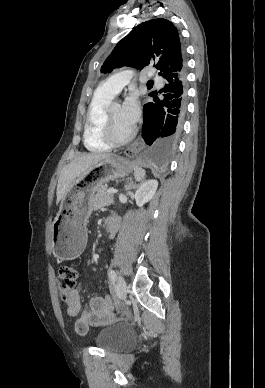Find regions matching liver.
<instances>
[{
	"label": "liver",
	"mask_w": 265,
	"mask_h": 388,
	"mask_svg": "<svg viewBox=\"0 0 265 388\" xmlns=\"http://www.w3.org/2000/svg\"><path fill=\"white\" fill-rule=\"evenodd\" d=\"M108 156H111V154H84V156H79V158L64 166L58 180L56 204H59L61 200H65L73 182L80 174L86 172L88 168H92L94 164H97L103 158H108Z\"/></svg>",
	"instance_id": "obj_1"
}]
</instances>
